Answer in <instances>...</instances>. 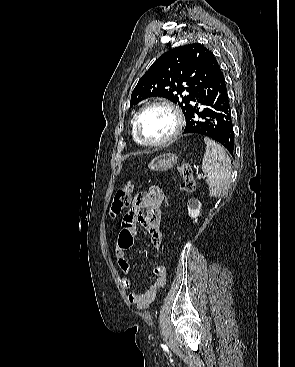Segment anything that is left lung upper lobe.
I'll list each match as a JSON object with an SVG mask.
<instances>
[{
  "instance_id": "1",
  "label": "left lung upper lobe",
  "mask_w": 295,
  "mask_h": 367,
  "mask_svg": "<svg viewBox=\"0 0 295 367\" xmlns=\"http://www.w3.org/2000/svg\"><path fill=\"white\" fill-rule=\"evenodd\" d=\"M217 65L212 52L199 43L169 50L140 78L132 92L130 107L148 97H164L178 104L186 116L191 101L205 88ZM184 91L189 94L183 95Z\"/></svg>"
}]
</instances>
